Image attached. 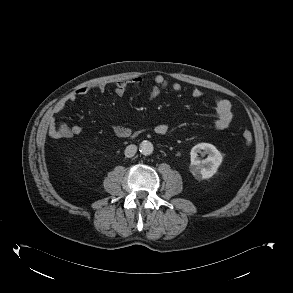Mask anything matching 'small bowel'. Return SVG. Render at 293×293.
Segmentation results:
<instances>
[{
	"instance_id": "small-bowel-1",
	"label": "small bowel",
	"mask_w": 293,
	"mask_h": 293,
	"mask_svg": "<svg viewBox=\"0 0 293 293\" xmlns=\"http://www.w3.org/2000/svg\"><path fill=\"white\" fill-rule=\"evenodd\" d=\"M144 80L140 77L134 78L129 81H119L115 84L114 91L118 96H123L130 86H138L143 84ZM96 89L100 92L106 90V85L104 83L98 84ZM182 86L178 82H170L163 75L158 74L154 77L153 84L148 89L147 95L150 99H154L161 94L163 90H171L174 92H180ZM91 91V87L83 86L78 88L77 90L69 93L65 98L60 100L51 110L49 115V122L51 127H54V116L61 113L67 103L74 102L78 97L84 96ZM192 95L195 98H199L203 95V91L199 88H194L192 90ZM215 121L214 127L217 130H224L230 126L233 120V111L231 103L224 98H216L215 99ZM114 134L119 138H127L131 136L132 132L129 128L121 125L114 124L112 126ZM155 132L160 135H165L169 131V127L165 123H159L155 126ZM82 132V128L79 125H74L71 127L69 132L64 135V137H72L77 136ZM51 136L55 138H60L63 136H59L57 134L51 133Z\"/></svg>"
}]
</instances>
